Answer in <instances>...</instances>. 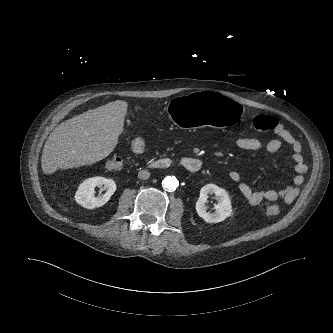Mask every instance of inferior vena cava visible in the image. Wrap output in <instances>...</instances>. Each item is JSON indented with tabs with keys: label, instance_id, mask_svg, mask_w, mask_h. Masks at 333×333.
I'll return each mask as SVG.
<instances>
[{
	"label": "inferior vena cava",
	"instance_id": "1",
	"mask_svg": "<svg viewBox=\"0 0 333 333\" xmlns=\"http://www.w3.org/2000/svg\"><path fill=\"white\" fill-rule=\"evenodd\" d=\"M150 177V172L148 170H141L138 173V178L141 180H147Z\"/></svg>",
	"mask_w": 333,
	"mask_h": 333
}]
</instances>
